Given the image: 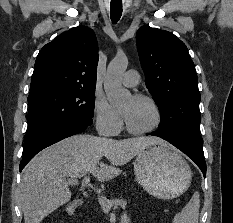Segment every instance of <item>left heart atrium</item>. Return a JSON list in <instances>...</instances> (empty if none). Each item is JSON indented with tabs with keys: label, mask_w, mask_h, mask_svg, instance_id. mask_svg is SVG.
<instances>
[{
	"label": "left heart atrium",
	"mask_w": 233,
	"mask_h": 223,
	"mask_svg": "<svg viewBox=\"0 0 233 223\" xmlns=\"http://www.w3.org/2000/svg\"><path fill=\"white\" fill-rule=\"evenodd\" d=\"M127 116H128V113H125V114H124V118L126 119V118H127Z\"/></svg>",
	"instance_id": "left-heart-atrium-1"
}]
</instances>
